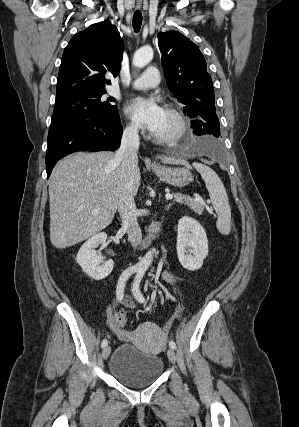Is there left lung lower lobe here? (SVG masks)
<instances>
[{
	"label": "left lung lower lobe",
	"instance_id": "left-lung-lower-lobe-1",
	"mask_svg": "<svg viewBox=\"0 0 299 427\" xmlns=\"http://www.w3.org/2000/svg\"><path fill=\"white\" fill-rule=\"evenodd\" d=\"M197 112H199L198 113L199 118L198 117L191 118L194 133L196 135H204V134L212 135V133L209 131V126L212 124H208L209 117L206 116L209 113L208 110H206L205 108H201L200 111L197 110ZM197 147L200 151L210 153L213 156L218 158L222 157L220 146L218 144L214 146H209L204 143H199Z\"/></svg>",
	"mask_w": 299,
	"mask_h": 427
}]
</instances>
